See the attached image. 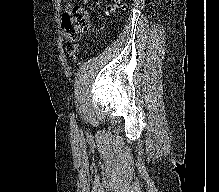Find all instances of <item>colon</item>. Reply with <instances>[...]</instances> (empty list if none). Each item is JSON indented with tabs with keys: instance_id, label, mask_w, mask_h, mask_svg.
Here are the masks:
<instances>
[{
	"instance_id": "obj_1",
	"label": "colon",
	"mask_w": 219,
	"mask_h": 192,
	"mask_svg": "<svg viewBox=\"0 0 219 192\" xmlns=\"http://www.w3.org/2000/svg\"><path fill=\"white\" fill-rule=\"evenodd\" d=\"M124 6L123 0H112L105 8L107 15H114ZM90 28L89 10L79 4H73L61 17L62 35L65 39V48L74 54L77 42Z\"/></svg>"
}]
</instances>
